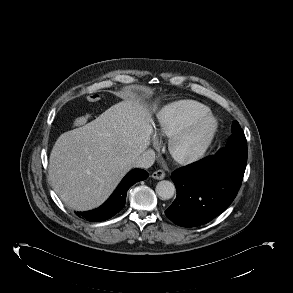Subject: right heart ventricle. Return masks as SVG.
<instances>
[{
	"label": "right heart ventricle",
	"instance_id": "obj_1",
	"mask_svg": "<svg viewBox=\"0 0 293 293\" xmlns=\"http://www.w3.org/2000/svg\"><path fill=\"white\" fill-rule=\"evenodd\" d=\"M208 112L207 106L194 100L172 102L158 112L156 131L160 136L171 137L190 121Z\"/></svg>",
	"mask_w": 293,
	"mask_h": 293
}]
</instances>
